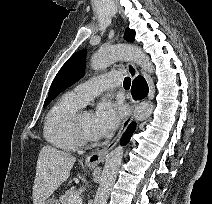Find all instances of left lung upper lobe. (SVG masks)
I'll use <instances>...</instances> for the list:
<instances>
[{"instance_id":"obj_1","label":"left lung upper lobe","mask_w":212,"mask_h":204,"mask_svg":"<svg viewBox=\"0 0 212 204\" xmlns=\"http://www.w3.org/2000/svg\"><path fill=\"white\" fill-rule=\"evenodd\" d=\"M125 40L133 42L135 39V32L129 28L126 29ZM86 62V51L81 50L74 53L54 78L49 89L48 98H46L44 107L62 90L71 86L84 75V68Z\"/></svg>"}]
</instances>
